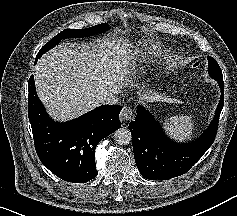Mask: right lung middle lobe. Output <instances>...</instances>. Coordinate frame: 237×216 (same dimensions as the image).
Returning a JSON list of instances; mask_svg holds the SVG:
<instances>
[{
  "mask_svg": "<svg viewBox=\"0 0 237 216\" xmlns=\"http://www.w3.org/2000/svg\"><path fill=\"white\" fill-rule=\"evenodd\" d=\"M108 24L102 23L97 26H92L86 29H65L47 42L38 52L36 61L49 49L55 47L62 39L66 38H78V37H87L94 34L102 33L108 30Z\"/></svg>",
  "mask_w": 237,
  "mask_h": 216,
  "instance_id": "1",
  "label": "right lung middle lobe"
}]
</instances>
